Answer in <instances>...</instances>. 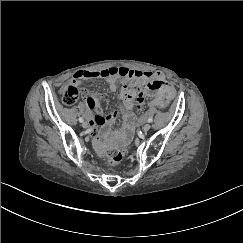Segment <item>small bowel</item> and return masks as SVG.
<instances>
[{
    "instance_id": "obj_1",
    "label": "small bowel",
    "mask_w": 243,
    "mask_h": 243,
    "mask_svg": "<svg viewBox=\"0 0 243 243\" xmlns=\"http://www.w3.org/2000/svg\"><path fill=\"white\" fill-rule=\"evenodd\" d=\"M92 78L107 79L112 89L117 88L118 78L135 81L139 87L136 96L137 108H140L143 104L144 97L149 96L151 98L149 101L150 108L165 109L175 95V89L166 82L163 73L160 71L132 70L125 67H112L97 71H78L73 75L71 83L78 85ZM85 100L91 110V132L93 136L97 137L102 126L116 119L117 112L112 111L107 116H103L97 95L85 94Z\"/></svg>"
}]
</instances>
